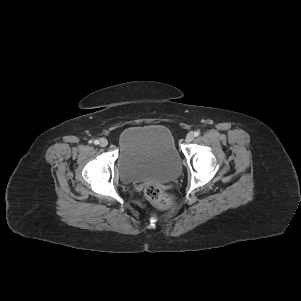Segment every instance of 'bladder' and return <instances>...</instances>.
Segmentation results:
<instances>
[{"instance_id":"31cf9c89","label":"bladder","mask_w":301,"mask_h":301,"mask_svg":"<svg viewBox=\"0 0 301 301\" xmlns=\"http://www.w3.org/2000/svg\"><path fill=\"white\" fill-rule=\"evenodd\" d=\"M117 170L125 183L174 180L181 160L169 129L156 124L126 128L118 140Z\"/></svg>"}]
</instances>
